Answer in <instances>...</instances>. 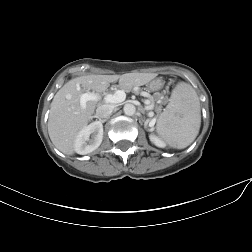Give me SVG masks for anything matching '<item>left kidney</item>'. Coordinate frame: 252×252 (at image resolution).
Masks as SVG:
<instances>
[{
    "label": "left kidney",
    "instance_id": "left-kidney-1",
    "mask_svg": "<svg viewBox=\"0 0 252 252\" xmlns=\"http://www.w3.org/2000/svg\"><path fill=\"white\" fill-rule=\"evenodd\" d=\"M149 138H150V141L153 142L157 147H160V148L165 147L164 141L158 138L156 135L151 134Z\"/></svg>",
    "mask_w": 252,
    "mask_h": 252
}]
</instances>
